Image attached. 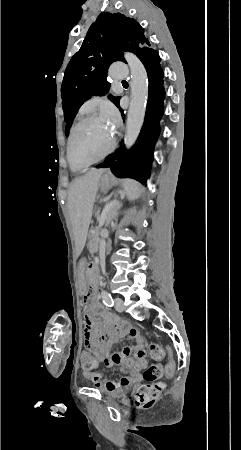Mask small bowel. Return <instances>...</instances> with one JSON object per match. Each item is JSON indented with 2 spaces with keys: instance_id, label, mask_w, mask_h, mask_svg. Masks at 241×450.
I'll use <instances>...</instances> for the list:
<instances>
[{
  "instance_id": "small-bowel-1",
  "label": "small bowel",
  "mask_w": 241,
  "mask_h": 450,
  "mask_svg": "<svg viewBox=\"0 0 241 450\" xmlns=\"http://www.w3.org/2000/svg\"><path fill=\"white\" fill-rule=\"evenodd\" d=\"M95 305L94 298L82 299L83 307H94ZM82 316L85 318L84 346L94 347L96 360H100L108 368L120 367V371L124 374L117 380L104 379L101 372H85V377L93 382L95 387L103 388L108 392H118L140 383L143 380L144 366L148 364L145 349L146 339L140 330L127 322H124L120 331L118 324H105L104 328L98 330L93 326L100 323L98 316H91L89 309H84ZM123 337L134 339L135 344L124 346L119 352L111 353L112 346Z\"/></svg>"
}]
</instances>
